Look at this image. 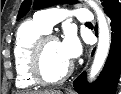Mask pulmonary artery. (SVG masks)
<instances>
[{"mask_svg":"<svg viewBox=\"0 0 121 94\" xmlns=\"http://www.w3.org/2000/svg\"><path fill=\"white\" fill-rule=\"evenodd\" d=\"M66 17H74L80 22H92L93 16L90 10L81 8L74 11H69L63 8H53L39 11L35 14V20L43 26L48 32L52 27L65 19Z\"/></svg>","mask_w":121,"mask_h":94,"instance_id":"obj_1","label":"pulmonary artery"}]
</instances>
